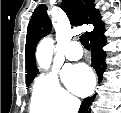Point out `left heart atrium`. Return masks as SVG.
<instances>
[{
    "label": "left heart atrium",
    "instance_id": "left-heart-atrium-1",
    "mask_svg": "<svg viewBox=\"0 0 121 113\" xmlns=\"http://www.w3.org/2000/svg\"><path fill=\"white\" fill-rule=\"evenodd\" d=\"M63 79L67 87L79 96L88 94L94 85L92 72L84 65L65 68Z\"/></svg>",
    "mask_w": 121,
    "mask_h": 113
}]
</instances>
